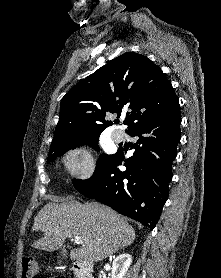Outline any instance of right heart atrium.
<instances>
[{"instance_id":"obj_1","label":"right heart atrium","mask_w":221,"mask_h":278,"mask_svg":"<svg viewBox=\"0 0 221 278\" xmlns=\"http://www.w3.org/2000/svg\"><path fill=\"white\" fill-rule=\"evenodd\" d=\"M67 172L80 180L91 179L96 171V164L90 149L86 145H75L69 148L62 157Z\"/></svg>"}]
</instances>
